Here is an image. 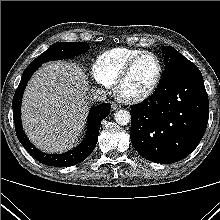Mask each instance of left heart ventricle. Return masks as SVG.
Instances as JSON below:
<instances>
[{
  "label": "left heart ventricle",
  "mask_w": 220,
  "mask_h": 220,
  "mask_svg": "<svg viewBox=\"0 0 220 220\" xmlns=\"http://www.w3.org/2000/svg\"><path fill=\"white\" fill-rule=\"evenodd\" d=\"M157 73V62L149 55L140 58L124 81L121 91L124 95H137L147 90Z\"/></svg>",
  "instance_id": "1"
}]
</instances>
